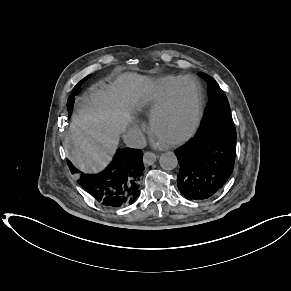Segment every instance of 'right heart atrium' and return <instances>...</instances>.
Here are the masks:
<instances>
[{
    "label": "right heart atrium",
    "mask_w": 291,
    "mask_h": 291,
    "mask_svg": "<svg viewBox=\"0 0 291 291\" xmlns=\"http://www.w3.org/2000/svg\"><path fill=\"white\" fill-rule=\"evenodd\" d=\"M134 127H135V129L138 130V131H141V130H142V128H141L138 124H135Z\"/></svg>",
    "instance_id": "obj_1"
}]
</instances>
